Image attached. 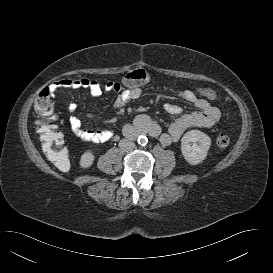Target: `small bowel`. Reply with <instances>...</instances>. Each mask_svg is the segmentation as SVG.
<instances>
[{"label": "small bowel", "mask_w": 273, "mask_h": 273, "mask_svg": "<svg viewBox=\"0 0 273 273\" xmlns=\"http://www.w3.org/2000/svg\"><path fill=\"white\" fill-rule=\"evenodd\" d=\"M57 84L61 87L87 89L94 98L100 97L104 91L115 92L118 94L114 101L116 107H123L129 102L139 99L142 95V90L138 87L122 91V87L113 81L108 82L105 87H102L98 81L89 78L65 79L59 81ZM170 90L175 91L182 100L191 103L198 111L183 113L180 106L173 103H166L164 105L165 112L177 117L169 125L166 132H162L160 125L146 115H139L135 119V125L139 129L148 132L154 137H158L163 145L178 141L188 129L210 128L219 121L220 111L216 107L211 106L207 100L198 97L193 91H176L173 88H170ZM76 109L77 105L75 103H69L68 110L70 113H75ZM87 117L93 118V114L88 113ZM69 122L72 130L86 141L99 143L107 141L111 137V133L108 130L91 131L82 129L81 120L76 115H71Z\"/></svg>", "instance_id": "obj_1"}]
</instances>
